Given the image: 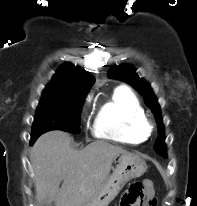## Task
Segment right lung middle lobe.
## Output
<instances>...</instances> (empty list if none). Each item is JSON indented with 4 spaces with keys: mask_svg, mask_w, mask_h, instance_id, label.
Segmentation results:
<instances>
[{
    "mask_svg": "<svg viewBox=\"0 0 197 206\" xmlns=\"http://www.w3.org/2000/svg\"><path fill=\"white\" fill-rule=\"evenodd\" d=\"M85 94L43 92L36 110L31 139L50 130L80 132V113Z\"/></svg>",
    "mask_w": 197,
    "mask_h": 206,
    "instance_id": "1",
    "label": "right lung middle lobe"
}]
</instances>
